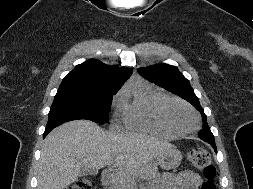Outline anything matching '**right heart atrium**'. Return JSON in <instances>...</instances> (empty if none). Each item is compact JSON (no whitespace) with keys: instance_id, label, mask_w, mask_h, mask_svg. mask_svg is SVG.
Listing matches in <instances>:
<instances>
[{"instance_id":"obj_1","label":"right heart atrium","mask_w":253,"mask_h":189,"mask_svg":"<svg viewBox=\"0 0 253 189\" xmlns=\"http://www.w3.org/2000/svg\"><path fill=\"white\" fill-rule=\"evenodd\" d=\"M114 105L118 109L122 110V93L116 95V97L114 98Z\"/></svg>"}]
</instances>
